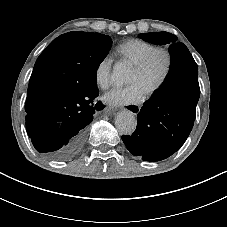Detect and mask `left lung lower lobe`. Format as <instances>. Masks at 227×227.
<instances>
[{
  "instance_id": "0a47b994",
  "label": "left lung lower lobe",
  "mask_w": 227,
  "mask_h": 227,
  "mask_svg": "<svg viewBox=\"0 0 227 227\" xmlns=\"http://www.w3.org/2000/svg\"><path fill=\"white\" fill-rule=\"evenodd\" d=\"M199 96L197 65L182 47L171 55L164 83L138 113L134 133L121 137L127 149L150 162L174 154L192 130Z\"/></svg>"
}]
</instances>
